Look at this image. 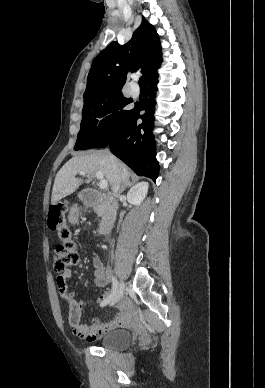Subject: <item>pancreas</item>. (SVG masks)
I'll use <instances>...</instances> for the list:
<instances>
[{"label":"pancreas","mask_w":265,"mask_h":388,"mask_svg":"<svg viewBox=\"0 0 265 388\" xmlns=\"http://www.w3.org/2000/svg\"><path fill=\"white\" fill-rule=\"evenodd\" d=\"M94 210H95L96 214H98V216H101V214H99V212H98V208H94Z\"/></svg>","instance_id":"obj_1"}]
</instances>
